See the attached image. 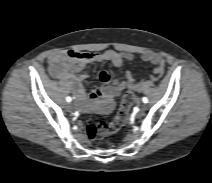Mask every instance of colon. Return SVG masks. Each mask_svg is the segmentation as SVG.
Returning <instances> with one entry per match:
<instances>
[{"label": "colon", "instance_id": "colon-1", "mask_svg": "<svg viewBox=\"0 0 212 183\" xmlns=\"http://www.w3.org/2000/svg\"><path fill=\"white\" fill-rule=\"evenodd\" d=\"M134 100V94L129 91L123 96L121 105L113 118L108 121L94 120L90 122L87 127L90 139H102L117 132L124 125Z\"/></svg>", "mask_w": 212, "mask_h": 183}]
</instances>
